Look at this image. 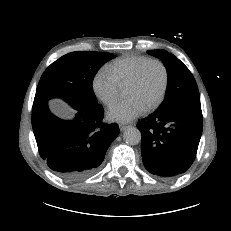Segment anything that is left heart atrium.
I'll use <instances>...</instances> for the list:
<instances>
[{
  "label": "left heart atrium",
  "instance_id": "left-heart-atrium-1",
  "mask_svg": "<svg viewBox=\"0 0 231 231\" xmlns=\"http://www.w3.org/2000/svg\"><path fill=\"white\" fill-rule=\"evenodd\" d=\"M146 107L136 98L113 103L107 112L108 119L113 122L128 123L143 114Z\"/></svg>",
  "mask_w": 231,
  "mask_h": 231
}]
</instances>
